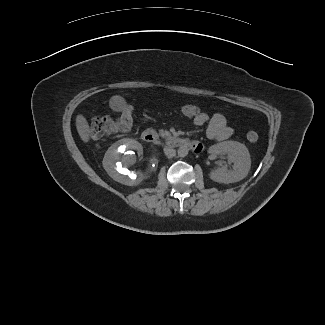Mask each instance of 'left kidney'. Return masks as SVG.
<instances>
[{
	"label": "left kidney",
	"mask_w": 325,
	"mask_h": 325,
	"mask_svg": "<svg viewBox=\"0 0 325 325\" xmlns=\"http://www.w3.org/2000/svg\"><path fill=\"white\" fill-rule=\"evenodd\" d=\"M212 155H227L233 168L219 167L210 173V178L218 183H234L244 179L250 170L251 159L247 147L236 141H224L209 148Z\"/></svg>",
	"instance_id": "obj_1"
}]
</instances>
